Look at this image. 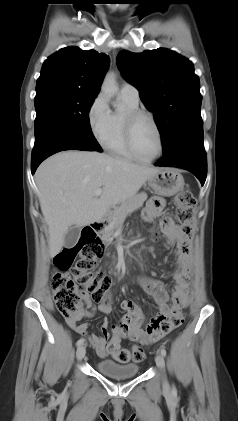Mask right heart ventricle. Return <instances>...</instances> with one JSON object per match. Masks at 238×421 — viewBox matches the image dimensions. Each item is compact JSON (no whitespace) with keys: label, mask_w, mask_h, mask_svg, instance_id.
I'll use <instances>...</instances> for the list:
<instances>
[{"label":"right heart ventricle","mask_w":238,"mask_h":421,"mask_svg":"<svg viewBox=\"0 0 238 421\" xmlns=\"http://www.w3.org/2000/svg\"><path fill=\"white\" fill-rule=\"evenodd\" d=\"M126 106V111L112 112L110 119V127L106 137L101 142L103 147L110 153L119 156L123 159L134 161L136 160L127 148L124 137V114L129 110L138 109V103H133L122 97Z\"/></svg>","instance_id":"1"}]
</instances>
